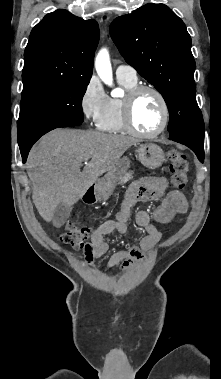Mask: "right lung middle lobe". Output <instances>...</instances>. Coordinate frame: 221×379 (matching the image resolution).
<instances>
[{
  "label": "right lung middle lobe",
  "instance_id": "dd1d6c3e",
  "mask_svg": "<svg viewBox=\"0 0 221 379\" xmlns=\"http://www.w3.org/2000/svg\"><path fill=\"white\" fill-rule=\"evenodd\" d=\"M90 79L60 82L22 92L18 142L39 139L58 127L83 122L82 99Z\"/></svg>",
  "mask_w": 221,
  "mask_h": 379
}]
</instances>
